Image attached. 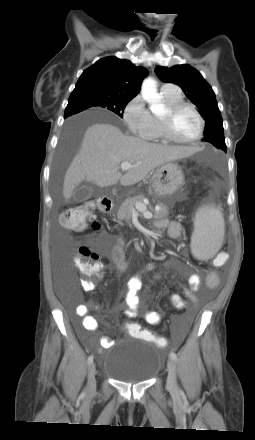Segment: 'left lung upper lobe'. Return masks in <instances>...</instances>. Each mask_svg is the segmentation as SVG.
Wrapping results in <instances>:
<instances>
[{
    "instance_id": "left-lung-upper-lobe-1",
    "label": "left lung upper lobe",
    "mask_w": 255,
    "mask_h": 440,
    "mask_svg": "<svg viewBox=\"0 0 255 440\" xmlns=\"http://www.w3.org/2000/svg\"><path fill=\"white\" fill-rule=\"evenodd\" d=\"M155 72L162 81L180 86L185 95L198 107L199 113L206 121L205 136L202 141H207L226 152L221 113L215 94L202 75L186 64L171 68L158 66Z\"/></svg>"
}]
</instances>
